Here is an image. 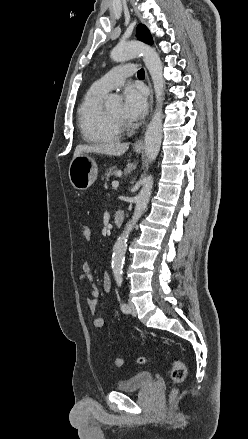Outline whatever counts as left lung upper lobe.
<instances>
[{"label":"left lung upper lobe","instance_id":"obj_1","mask_svg":"<svg viewBox=\"0 0 248 439\" xmlns=\"http://www.w3.org/2000/svg\"><path fill=\"white\" fill-rule=\"evenodd\" d=\"M136 37L138 38V40L143 41L145 43H148V44L153 43L150 32L145 25L140 24L137 26Z\"/></svg>","mask_w":248,"mask_h":439}]
</instances>
